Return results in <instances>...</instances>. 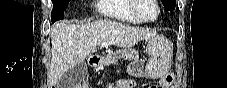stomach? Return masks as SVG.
<instances>
[{
	"instance_id": "0dacf381",
	"label": "stomach",
	"mask_w": 227,
	"mask_h": 88,
	"mask_svg": "<svg viewBox=\"0 0 227 88\" xmlns=\"http://www.w3.org/2000/svg\"><path fill=\"white\" fill-rule=\"evenodd\" d=\"M147 53L150 60L143 68L139 67L132 71L135 76L159 78L164 76L170 69L173 55V45L169 39L162 35H155L148 39Z\"/></svg>"
}]
</instances>
